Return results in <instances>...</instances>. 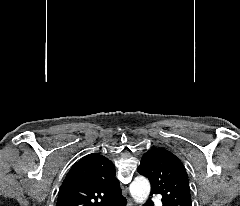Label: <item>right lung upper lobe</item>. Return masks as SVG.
Segmentation results:
<instances>
[{
  "label": "right lung upper lobe",
  "mask_w": 240,
  "mask_h": 206,
  "mask_svg": "<svg viewBox=\"0 0 240 206\" xmlns=\"http://www.w3.org/2000/svg\"><path fill=\"white\" fill-rule=\"evenodd\" d=\"M120 193L113 163L92 153L72 166L61 185L56 206H103Z\"/></svg>",
  "instance_id": "obj_1"
}]
</instances>
